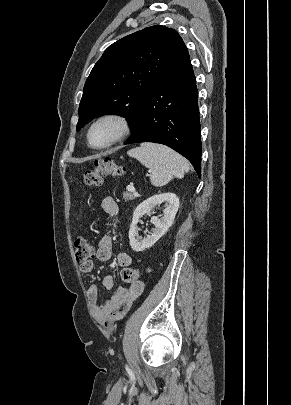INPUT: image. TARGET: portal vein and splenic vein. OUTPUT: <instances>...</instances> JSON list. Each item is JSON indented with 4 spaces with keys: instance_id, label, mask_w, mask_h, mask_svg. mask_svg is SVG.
<instances>
[{
    "instance_id": "obj_1",
    "label": "portal vein and splenic vein",
    "mask_w": 291,
    "mask_h": 405,
    "mask_svg": "<svg viewBox=\"0 0 291 405\" xmlns=\"http://www.w3.org/2000/svg\"><path fill=\"white\" fill-rule=\"evenodd\" d=\"M126 189H127L128 191H130V192H133L134 194H137L136 189H135L134 186H132V185H128V186L126 187Z\"/></svg>"
}]
</instances>
